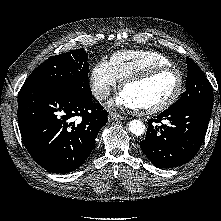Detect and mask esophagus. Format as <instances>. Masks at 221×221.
I'll use <instances>...</instances> for the list:
<instances>
[{"mask_svg": "<svg viewBox=\"0 0 221 221\" xmlns=\"http://www.w3.org/2000/svg\"><path fill=\"white\" fill-rule=\"evenodd\" d=\"M109 120L110 121H116V120H125L126 118L124 116H121L117 113H109V116H108Z\"/></svg>", "mask_w": 221, "mask_h": 221, "instance_id": "34e87169", "label": "esophagus"}]
</instances>
